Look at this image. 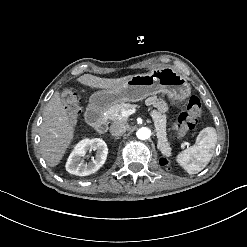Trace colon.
Instances as JSON below:
<instances>
[{"instance_id": "colon-1", "label": "colon", "mask_w": 247, "mask_h": 247, "mask_svg": "<svg viewBox=\"0 0 247 247\" xmlns=\"http://www.w3.org/2000/svg\"><path fill=\"white\" fill-rule=\"evenodd\" d=\"M64 107L66 111L73 117L79 116V100L75 93L66 91L63 95ZM201 114V102L197 96H191L188 101L187 111L178 116L177 123L181 127L178 129L177 134L179 137L184 138L187 136L188 131L186 128H192L197 122ZM162 165L170 168L171 162L169 159H163Z\"/></svg>"}]
</instances>
